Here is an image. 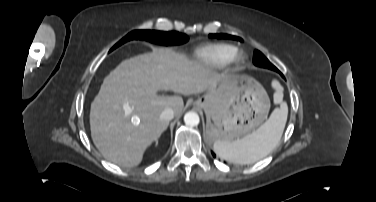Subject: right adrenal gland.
<instances>
[{"mask_svg": "<svg viewBox=\"0 0 376 202\" xmlns=\"http://www.w3.org/2000/svg\"><path fill=\"white\" fill-rule=\"evenodd\" d=\"M158 144V140H156V145Z\"/></svg>", "mask_w": 376, "mask_h": 202, "instance_id": "2a0ac1e0", "label": "right adrenal gland"}]
</instances>
